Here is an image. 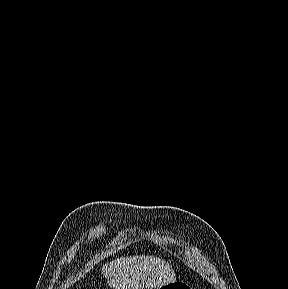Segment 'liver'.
Returning <instances> with one entry per match:
<instances>
[{
    "label": "liver",
    "instance_id": "obj_1",
    "mask_svg": "<svg viewBox=\"0 0 288 289\" xmlns=\"http://www.w3.org/2000/svg\"><path fill=\"white\" fill-rule=\"evenodd\" d=\"M101 271L114 289H158L176 280L172 267L154 256L121 257Z\"/></svg>",
    "mask_w": 288,
    "mask_h": 289
}]
</instances>
